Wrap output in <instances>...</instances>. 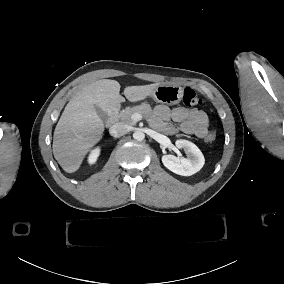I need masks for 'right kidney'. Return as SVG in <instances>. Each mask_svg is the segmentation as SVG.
Masks as SVG:
<instances>
[{"instance_id": "1", "label": "right kidney", "mask_w": 284, "mask_h": 284, "mask_svg": "<svg viewBox=\"0 0 284 284\" xmlns=\"http://www.w3.org/2000/svg\"><path fill=\"white\" fill-rule=\"evenodd\" d=\"M100 155V148L97 147L94 150L91 151L89 157H88V163L90 165L94 164L97 161V158Z\"/></svg>"}]
</instances>
